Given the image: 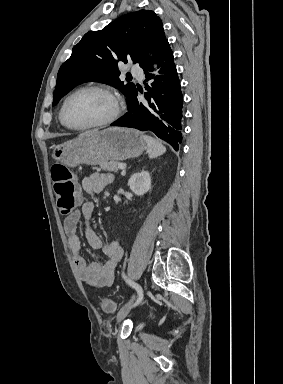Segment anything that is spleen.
I'll use <instances>...</instances> for the list:
<instances>
[{
    "instance_id": "3e777b00",
    "label": "spleen",
    "mask_w": 283,
    "mask_h": 384,
    "mask_svg": "<svg viewBox=\"0 0 283 384\" xmlns=\"http://www.w3.org/2000/svg\"><path fill=\"white\" fill-rule=\"evenodd\" d=\"M143 138L147 144V154L149 158H158V156L165 154L166 148L162 146L158 140H154L151 136H143Z\"/></svg>"
}]
</instances>
